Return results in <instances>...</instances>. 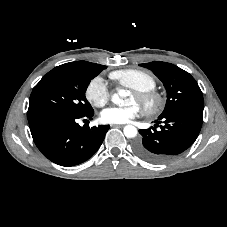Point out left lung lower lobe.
Returning <instances> with one entry per match:
<instances>
[{
  "label": "left lung lower lobe",
  "instance_id": "1",
  "mask_svg": "<svg viewBox=\"0 0 227 227\" xmlns=\"http://www.w3.org/2000/svg\"><path fill=\"white\" fill-rule=\"evenodd\" d=\"M160 130H156L159 123ZM203 112L180 111L155 120V128L139 130L141 139L135 142V152L152 163L167 162L188 149L198 137Z\"/></svg>",
  "mask_w": 227,
  "mask_h": 227
}]
</instances>
